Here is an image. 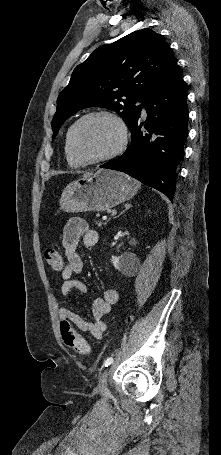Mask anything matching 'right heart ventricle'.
<instances>
[{"instance_id":"e07e8e85","label":"right heart ventricle","mask_w":221,"mask_h":455,"mask_svg":"<svg viewBox=\"0 0 221 455\" xmlns=\"http://www.w3.org/2000/svg\"><path fill=\"white\" fill-rule=\"evenodd\" d=\"M70 131L71 127L68 129L65 137V146H64V151H65V157L69 165L72 167H79L81 166V162L74 156L72 153V150L70 148Z\"/></svg>"}]
</instances>
